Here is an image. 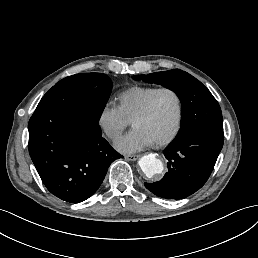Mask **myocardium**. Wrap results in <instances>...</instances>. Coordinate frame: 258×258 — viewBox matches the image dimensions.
<instances>
[{
  "label": "myocardium",
  "instance_id": "f54148a6",
  "mask_svg": "<svg viewBox=\"0 0 258 258\" xmlns=\"http://www.w3.org/2000/svg\"><path fill=\"white\" fill-rule=\"evenodd\" d=\"M166 92H170V93L174 94V96L176 98L177 109H176V115H175V120H174L172 129L170 130V132L167 135L159 136V135H156L151 129H149L147 127V124L149 123V121L152 118L153 108H154L157 98L161 94L166 93ZM181 117H182V100H181L180 95L173 89L160 88L155 92V94L149 100V102L146 106V109L144 110L143 114L140 116V118L136 122V127L144 135L148 136L153 141L158 142V143H166V142H169L170 140H172L174 138V136L176 135V133L178 132L179 127H180Z\"/></svg>",
  "mask_w": 258,
  "mask_h": 258
}]
</instances>
